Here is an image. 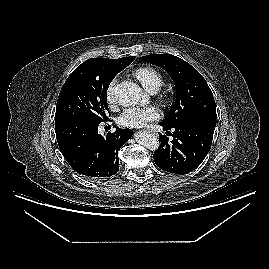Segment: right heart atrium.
Masks as SVG:
<instances>
[{"mask_svg": "<svg viewBox=\"0 0 269 269\" xmlns=\"http://www.w3.org/2000/svg\"><path fill=\"white\" fill-rule=\"evenodd\" d=\"M116 84H117V78H113L109 82L106 89V99L110 105H114L116 103V95H115Z\"/></svg>", "mask_w": 269, "mask_h": 269, "instance_id": "right-heart-atrium-1", "label": "right heart atrium"}]
</instances>
